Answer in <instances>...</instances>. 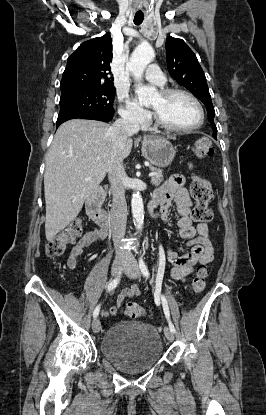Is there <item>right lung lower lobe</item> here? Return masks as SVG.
I'll return each mask as SVG.
<instances>
[{"label":"right lung lower lobe","instance_id":"right-lung-lower-lobe-1","mask_svg":"<svg viewBox=\"0 0 266 415\" xmlns=\"http://www.w3.org/2000/svg\"><path fill=\"white\" fill-rule=\"evenodd\" d=\"M75 118L92 119L104 122H109L113 118V114H105L99 112L88 111H63L60 112L57 119V128L65 121Z\"/></svg>","mask_w":266,"mask_h":415}]
</instances>
